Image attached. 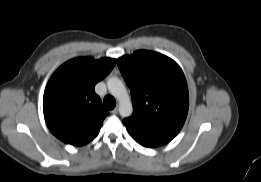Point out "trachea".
<instances>
[{
	"label": "trachea",
	"instance_id": "obj_1",
	"mask_svg": "<svg viewBox=\"0 0 261 182\" xmlns=\"http://www.w3.org/2000/svg\"><path fill=\"white\" fill-rule=\"evenodd\" d=\"M103 105L106 109L112 110L116 106V100L111 95H107L103 100Z\"/></svg>",
	"mask_w": 261,
	"mask_h": 182
}]
</instances>
